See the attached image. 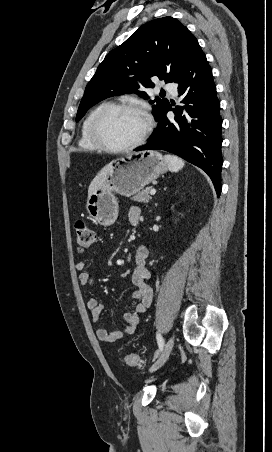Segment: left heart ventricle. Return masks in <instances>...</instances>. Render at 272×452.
<instances>
[{
  "mask_svg": "<svg viewBox=\"0 0 272 452\" xmlns=\"http://www.w3.org/2000/svg\"><path fill=\"white\" fill-rule=\"evenodd\" d=\"M144 128L143 119L130 111L112 110L103 115L99 129L103 138L114 146L135 141Z\"/></svg>",
  "mask_w": 272,
  "mask_h": 452,
  "instance_id": "1",
  "label": "left heart ventricle"
}]
</instances>
